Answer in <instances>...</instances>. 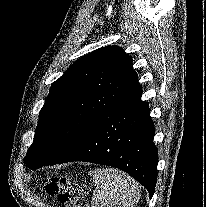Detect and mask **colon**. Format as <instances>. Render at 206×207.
Here are the masks:
<instances>
[{
    "label": "colon",
    "mask_w": 206,
    "mask_h": 207,
    "mask_svg": "<svg viewBox=\"0 0 206 207\" xmlns=\"http://www.w3.org/2000/svg\"><path fill=\"white\" fill-rule=\"evenodd\" d=\"M46 190L49 196L58 199L62 207H81L83 192L71 177H52Z\"/></svg>",
    "instance_id": "1"
}]
</instances>
